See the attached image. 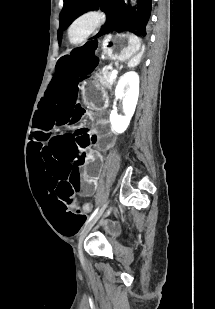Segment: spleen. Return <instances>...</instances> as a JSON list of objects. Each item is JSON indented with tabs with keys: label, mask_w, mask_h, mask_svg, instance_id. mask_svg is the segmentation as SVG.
<instances>
[{
	"label": "spleen",
	"mask_w": 215,
	"mask_h": 309,
	"mask_svg": "<svg viewBox=\"0 0 215 309\" xmlns=\"http://www.w3.org/2000/svg\"><path fill=\"white\" fill-rule=\"evenodd\" d=\"M143 54H144V46H142L141 52H138V54H136V56H133V58H131V60H129L128 66H137V64H139V62H141V58H142Z\"/></svg>",
	"instance_id": "obj_1"
}]
</instances>
